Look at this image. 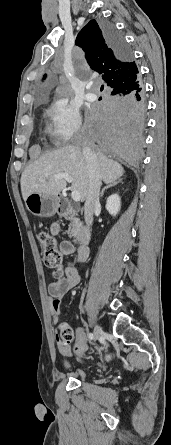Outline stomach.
<instances>
[{"mask_svg":"<svg viewBox=\"0 0 171 445\" xmlns=\"http://www.w3.org/2000/svg\"><path fill=\"white\" fill-rule=\"evenodd\" d=\"M27 209L35 216L50 217L58 209V198L40 193H31L25 200Z\"/></svg>","mask_w":171,"mask_h":445,"instance_id":"1","label":"stomach"}]
</instances>
